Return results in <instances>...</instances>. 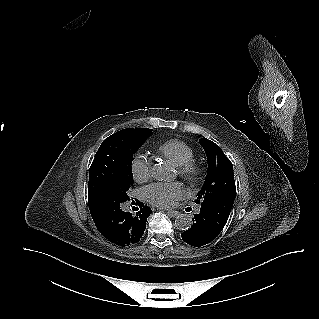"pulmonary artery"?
Segmentation results:
<instances>
[{
    "label": "pulmonary artery",
    "mask_w": 319,
    "mask_h": 319,
    "mask_svg": "<svg viewBox=\"0 0 319 319\" xmlns=\"http://www.w3.org/2000/svg\"><path fill=\"white\" fill-rule=\"evenodd\" d=\"M195 212H196V213H199V212H200V207H199V206L195 209Z\"/></svg>",
    "instance_id": "1"
}]
</instances>
